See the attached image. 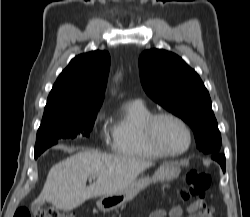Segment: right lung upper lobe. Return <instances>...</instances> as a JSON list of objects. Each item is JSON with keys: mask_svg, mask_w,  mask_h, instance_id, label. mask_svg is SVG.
<instances>
[{"mask_svg": "<svg viewBox=\"0 0 250 217\" xmlns=\"http://www.w3.org/2000/svg\"><path fill=\"white\" fill-rule=\"evenodd\" d=\"M109 67L110 55L106 51H91L73 58L53 85L43 117L99 109Z\"/></svg>", "mask_w": 250, "mask_h": 217, "instance_id": "1", "label": "right lung upper lobe"}]
</instances>
